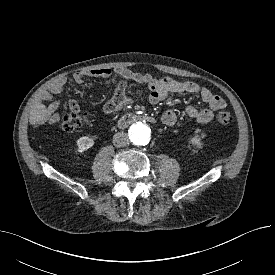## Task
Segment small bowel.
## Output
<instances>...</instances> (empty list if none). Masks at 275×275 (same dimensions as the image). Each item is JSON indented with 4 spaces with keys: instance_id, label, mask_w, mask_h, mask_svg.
Returning <instances> with one entry per match:
<instances>
[{
    "instance_id": "1",
    "label": "small bowel",
    "mask_w": 275,
    "mask_h": 275,
    "mask_svg": "<svg viewBox=\"0 0 275 275\" xmlns=\"http://www.w3.org/2000/svg\"><path fill=\"white\" fill-rule=\"evenodd\" d=\"M119 76L126 80H132L139 84H146L150 89L149 100L151 103L156 104L163 101L170 93H186L198 94L201 100L207 105L206 108L199 109L193 105L186 108L187 115L196 120L198 123L206 124L213 119L214 112L222 110L226 107L224 99L216 94H213L208 88L200 87L197 83L192 81H176L170 77L164 76L155 78L150 74H142L134 72L126 67H117L115 70ZM112 71L108 68H98L88 71L77 72L73 75V80L76 84L82 85L86 76L99 77L109 83V78ZM67 80L59 78L55 80L49 87V90L43 94V100L51 101L53 95L59 94L63 91ZM131 100L126 95V85L120 82L114 96L104 104V112L108 115H115L123 108L130 105ZM66 108L69 111L80 112L78 103L75 100H69L66 103ZM47 121L50 125H55L59 121V115L54 112L52 107L43 108L37 115L34 125L36 127L42 125ZM163 124L171 126L176 122V114L172 110L163 113L161 117Z\"/></svg>"
}]
</instances>
